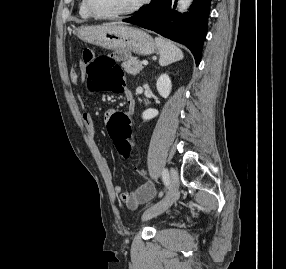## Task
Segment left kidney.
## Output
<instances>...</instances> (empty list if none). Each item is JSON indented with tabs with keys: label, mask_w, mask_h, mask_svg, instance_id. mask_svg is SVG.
Returning <instances> with one entry per match:
<instances>
[{
	"label": "left kidney",
	"mask_w": 286,
	"mask_h": 269,
	"mask_svg": "<svg viewBox=\"0 0 286 269\" xmlns=\"http://www.w3.org/2000/svg\"><path fill=\"white\" fill-rule=\"evenodd\" d=\"M156 87H157L158 93L163 98H167L170 95L171 89H172V84H171V79L169 78V76L166 73L162 74L157 79ZM157 115H158V110L149 108L142 113V118L144 120H150V119H153L154 117H156Z\"/></svg>",
	"instance_id": "1"
}]
</instances>
